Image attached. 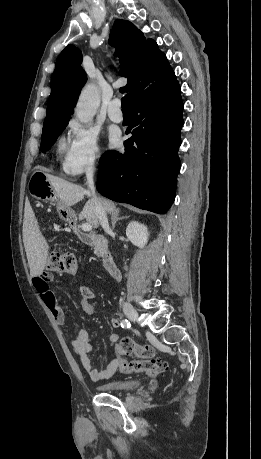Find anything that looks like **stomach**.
<instances>
[{
	"mask_svg": "<svg viewBox=\"0 0 261 459\" xmlns=\"http://www.w3.org/2000/svg\"><path fill=\"white\" fill-rule=\"evenodd\" d=\"M28 191L30 195L37 200H54L57 195L47 179L46 174L41 171H35L28 183ZM61 216L64 220H67L68 210L62 209L60 211Z\"/></svg>",
	"mask_w": 261,
	"mask_h": 459,
	"instance_id": "0dacf381",
	"label": "stomach"
}]
</instances>
